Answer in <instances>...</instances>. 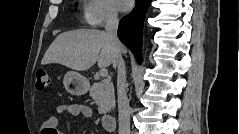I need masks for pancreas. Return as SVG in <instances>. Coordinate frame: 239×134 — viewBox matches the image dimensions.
<instances>
[{"label":"pancreas","instance_id":"1","mask_svg":"<svg viewBox=\"0 0 239 134\" xmlns=\"http://www.w3.org/2000/svg\"><path fill=\"white\" fill-rule=\"evenodd\" d=\"M90 96L98 105L100 114L107 113L115 104V94L112 82H97L90 88Z\"/></svg>","mask_w":239,"mask_h":134}]
</instances>
